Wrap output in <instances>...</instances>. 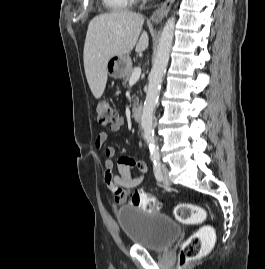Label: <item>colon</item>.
Wrapping results in <instances>:
<instances>
[{"label":"colon","instance_id":"colon-1","mask_svg":"<svg viewBox=\"0 0 265 269\" xmlns=\"http://www.w3.org/2000/svg\"><path fill=\"white\" fill-rule=\"evenodd\" d=\"M98 123L102 127L112 126L118 121L115 108L105 100L99 101L96 106ZM131 203L145 211L155 212L159 209V201L152 195L143 191H134ZM175 217L186 224L199 223L206 218L204 209L193 203H180L175 207ZM214 232L209 226L194 232L182 245L180 251V264L185 265L201 256L206 244L213 239Z\"/></svg>","mask_w":265,"mask_h":269}]
</instances>
